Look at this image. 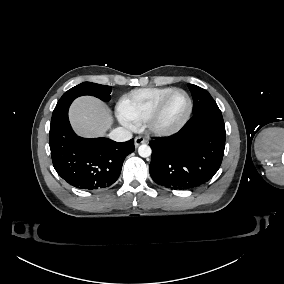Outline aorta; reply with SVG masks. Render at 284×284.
<instances>
[{"mask_svg":"<svg viewBox=\"0 0 284 284\" xmlns=\"http://www.w3.org/2000/svg\"><path fill=\"white\" fill-rule=\"evenodd\" d=\"M151 153H152V150H151L150 146H148L146 144H142L138 148V154L143 158L149 157L151 155Z\"/></svg>","mask_w":284,"mask_h":284,"instance_id":"obj_1","label":"aorta"}]
</instances>
